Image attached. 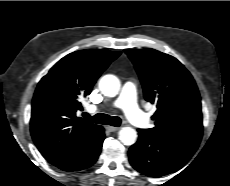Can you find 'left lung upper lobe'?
<instances>
[{"label": "left lung upper lobe", "instance_id": "5c2ea615", "mask_svg": "<svg viewBox=\"0 0 230 186\" xmlns=\"http://www.w3.org/2000/svg\"><path fill=\"white\" fill-rule=\"evenodd\" d=\"M144 89V97L157 106L146 129L158 136L199 144L203 125L201 99L189 71L174 57L154 49H125Z\"/></svg>", "mask_w": 230, "mask_h": 186}]
</instances>
